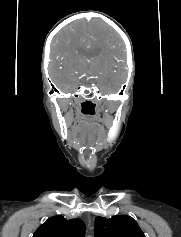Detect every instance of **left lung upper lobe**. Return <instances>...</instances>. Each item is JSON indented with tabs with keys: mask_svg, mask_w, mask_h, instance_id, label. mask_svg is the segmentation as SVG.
<instances>
[{
	"mask_svg": "<svg viewBox=\"0 0 181 237\" xmlns=\"http://www.w3.org/2000/svg\"><path fill=\"white\" fill-rule=\"evenodd\" d=\"M95 237H145V235L132 217L117 215L110 219L96 217Z\"/></svg>",
	"mask_w": 181,
	"mask_h": 237,
	"instance_id": "obj_1",
	"label": "left lung upper lobe"
}]
</instances>
